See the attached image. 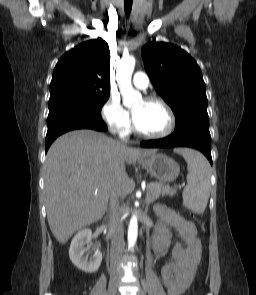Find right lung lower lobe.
Segmentation results:
<instances>
[{"mask_svg":"<svg viewBox=\"0 0 256 295\" xmlns=\"http://www.w3.org/2000/svg\"><path fill=\"white\" fill-rule=\"evenodd\" d=\"M46 152L52 142L61 134L75 129L106 131L107 126L101 117H57L47 121Z\"/></svg>","mask_w":256,"mask_h":295,"instance_id":"obj_1","label":"right lung lower lobe"}]
</instances>
